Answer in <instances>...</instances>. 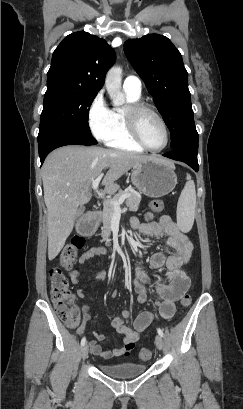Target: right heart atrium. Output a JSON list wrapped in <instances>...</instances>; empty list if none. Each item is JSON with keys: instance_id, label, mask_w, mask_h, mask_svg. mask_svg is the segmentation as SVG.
<instances>
[{"instance_id": "right-heart-atrium-1", "label": "right heart atrium", "mask_w": 243, "mask_h": 409, "mask_svg": "<svg viewBox=\"0 0 243 409\" xmlns=\"http://www.w3.org/2000/svg\"><path fill=\"white\" fill-rule=\"evenodd\" d=\"M87 122L94 137L100 141L107 142L116 133L118 120L107 104L103 91L98 92L90 102Z\"/></svg>"}]
</instances>
